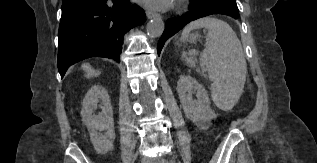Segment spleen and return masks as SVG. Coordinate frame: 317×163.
<instances>
[{
  "mask_svg": "<svg viewBox=\"0 0 317 163\" xmlns=\"http://www.w3.org/2000/svg\"><path fill=\"white\" fill-rule=\"evenodd\" d=\"M197 28L208 30L200 62L213 81L210 86L212 99L219 109L229 111L241 96L246 81L247 66L241 42L226 22L212 17L188 24L182 38ZM182 58L189 66L195 67V60L187 58L185 53Z\"/></svg>",
  "mask_w": 317,
  "mask_h": 163,
  "instance_id": "spleen-1",
  "label": "spleen"
}]
</instances>
